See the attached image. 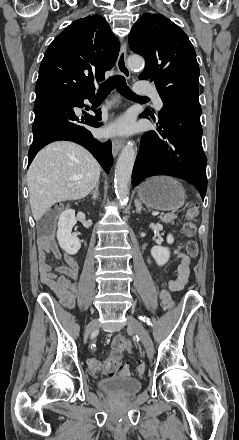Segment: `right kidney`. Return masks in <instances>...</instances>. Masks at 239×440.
<instances>
[{"mask_svg": "<svg viewBox=\"0 0 239 440\" xmlns=\"http://www.w3.org/2000/svg\"><path fill=\"white\" fill-rule=\"evenodd\" d=\"M75 224V210H65V212H62L58 222L57 240L61 242L60 244L64 247L65 252L72 250V254H77L81 248L79 238L71 234Z\"/></svg>", "mask_w": 239, "mask_h": 440, "instance_id": "1", "label": "right kidney"}]
</instances>
